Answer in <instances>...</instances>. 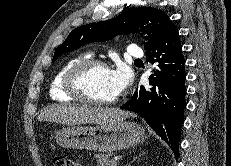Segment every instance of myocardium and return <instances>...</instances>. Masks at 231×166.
I'll return each mask as SVG.
<instances>
[{
    "instance_id": "1",
    "label": "myocardium",
    "mask_w": 231,
    "mask_h": 166,
    "mask_svg": "<svg viewBox=\"0 0 231 166\" xmlns=\"http://www.w3.org/2000/svg\"><path fill=\"white\" fill-rule=\"evenodd\" d=\"M94 68H104L109 70V66L106 62L99 59H87L73 65L65 75L64 88L65 91L74 99L79 101L97 105V106H110L119 101V97L116 96L110 100H100L90 97L83 89L82 78L84 75Z\"/></svg>"
}]
</instances>
